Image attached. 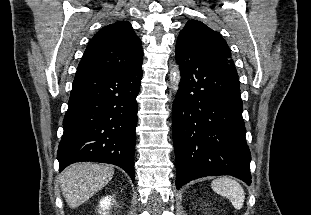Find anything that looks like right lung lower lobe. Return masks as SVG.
<instances>
[{"label":"right lung lower lobe","mask_w":311,"mask_h":215,"mask_svg":"<svg viewBox=\"0 0 311 215\" xmlns=\"http://www.w3.org/2000/svg\"><path fill=\"white\" fill-rule=\"evenodd\" d=\"M142 68L78 69L63 120L60 170L81 161L124 169L134 180L137 102Z\"/></svg>","instance_id":"98d812e1"}]
</instances>
